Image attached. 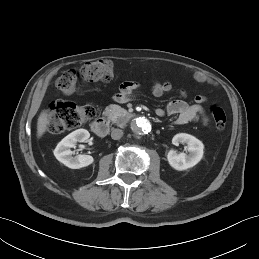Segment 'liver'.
<instances>
[{"label": "liver", "instance_id": "6515ba94", "mask_svg": "<svg viewBox=\"0 0 259 259\" xmlns=\"http://www.w3.org/2000/svg\"><path fill=\"white\" fill-rule=\"evenodd\" d=\"M50 120L48 118V114L45 110H43L37 120V138H40L47 131V126Z\"/></svg>", "mask_w": 259, "mask_h": 259}]
</instances>
